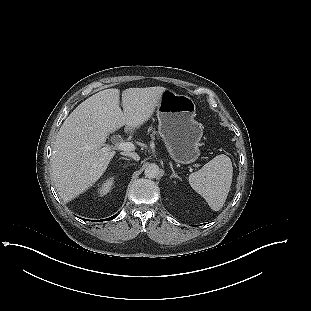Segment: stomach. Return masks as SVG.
I'll list each match as a JSON object with an SVG mask.
<instances>
[{
	"label": "stomach",
	"instance_id": "stomach-1",
	"mask_svg": "<svg viewBox=\"0 0 311 311\" xmlns=\"http://www.w3.org/2000/svg\"><path fill=\"white\" fill-rule=\"evenodd\" d=\"M158 132L171 158L181 164L196 161L203 128L194 118L192 98L165 89L157 105Z\"/></svg>",
	"mask_w": 311,
	"mask_h": 311
}]
</instances>
